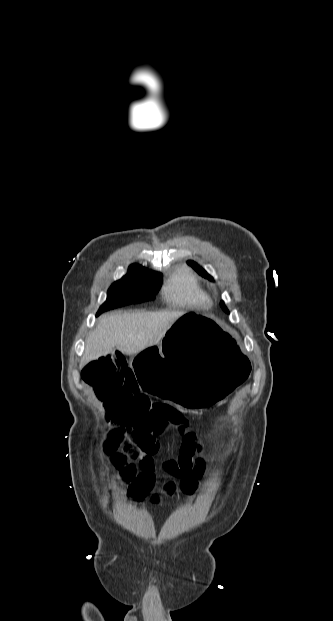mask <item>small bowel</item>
Returning a JSON list of instances; mask_svg holds the SVG:
<instances>
[{
    "label": "small bowel",
    "instance_id": "c3829d8e",
    "mask_svg": "<svg viewBox=\"0 0 333 621\" xmlns=\"http://www.w3.org/2000/svg\"><path fill=\"white\" fill-rule=\"evenodd\" d=\"M81 379L102 403L107 419L119 426L108 441L107 449L110 451L117 449L125 430L132 437H141L145 433L162 434L171 425L180 429L185 425V420L176 409L152 402L139 392L134 373L128 366L125 355L118 349L89 360L81 370ZM157 450V444L148 448L149 453ZM126 451L132 456L136 455L132 446H126ZM199 453L196 436L186 433L181 441L178 458L166 463V468L180 477V487L185 493L195 489L203 474L204 464L198 456ZM140 466L142 472L134 482L136 496L147 494L155 482L153 460L149 456L144 457ZM174 489V484L170 483L166 487V493L171 494Z\"/></svg>",
    "mask_w": 333,
    "mask_h": 621
}]
</instances>
